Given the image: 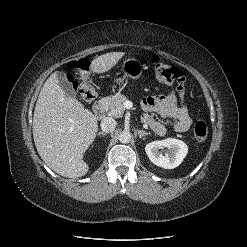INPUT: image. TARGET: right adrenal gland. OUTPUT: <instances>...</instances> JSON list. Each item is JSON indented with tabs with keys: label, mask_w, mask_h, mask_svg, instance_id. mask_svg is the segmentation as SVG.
I'll list each match as a JSON object with an SVG mask.
<instances>
[{
	"label": "right adrenal gland",
	"mask_w": 247,
	"mask_h": 247,
	"mask_svg": "<svg viewBox=\"0 0 247 247\" xmlns=\"http://www.w3.org/2000/svg\"><path fill=\"white\" fill-rule=\"evenodd\" d=\"M100 135L106 136V133H104V132H99V133H98V136H100Z\"/></svg>",
	"instance_id": "1"
}]
</instances>
